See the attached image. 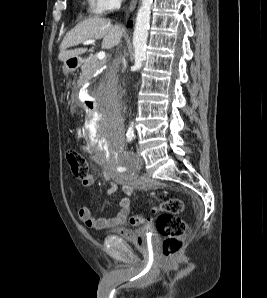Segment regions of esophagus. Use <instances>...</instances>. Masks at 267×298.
I'll use <instances>...</instances> for the list:
<instances>
[{"instance_id":"1","label":"esophagus","mask_w":267,"mask_h":298,"mask_svg":"<svg viewBox=\"0 0 267 298\" xmlns=\"http://www.w3.org/2000/svg\"><path fill=\"white\" fill-rule=\"evenodd\" d=\"M138 0H131L130 5H129V11L132 12L137 4Z\"/></svg>"}]
</instances>
